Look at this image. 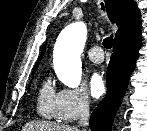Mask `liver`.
Masks as SVG:
<instances>
[{
  "label": "liver",
  "instance_id": "obj_1",
  "mask_svg": "<svg viewBox=\"0 0 147 131\" xmlns=\"http://www.w3.org/2000/svg\"><path fill=\"white\" fill-rule=\"evenodd\" d=\"M22 131H79L77 127L49 122H28Z\"/></svg>",
  "mask_w": 147,
  "mask_h": 131
}]
</instances>
